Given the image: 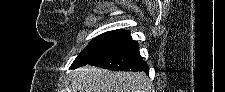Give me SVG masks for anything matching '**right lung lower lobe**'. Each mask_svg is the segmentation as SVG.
<instances>
[{
  "label": "right lung lower lobe",
  "mask_w": 225,
  "mask_h": 92,
  "mask_svg": "<svg viewBox=\"0 0 225 92\" xmlns=\"http://www.w3.org/2000/svg\"><path fill=\"white\" fill-rule=\"evenodd\" d=\"M88 64L111 70L144 71L149 74L148 65L139 54L137 42L103 55Z\"/></svg>",
  "instance_id": "obj_1"
}]
</instances>
